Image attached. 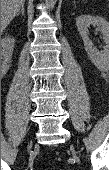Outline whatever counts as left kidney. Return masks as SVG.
<instances>
[{
  "mask_svg": "<svg viewBox=\"0 0 109 170\" xmlns=\"http://www.w3.org/2000/svg\"><path fill=\"white\" fill-rule=\"evenodd\" d=\"M78 31L83 39L85 50L92 63L101 71L109 68V22L99 16L81 15L76 19ZM96 25L102 33L104 43L102 51L97 50L89 39L88 27Z\"/></svg>",
  "mask_w": 109,
  "mask_h": 170,
  "instance_id": "left-kidney-1",
  "label": "left kidney"
}]
</instances>
